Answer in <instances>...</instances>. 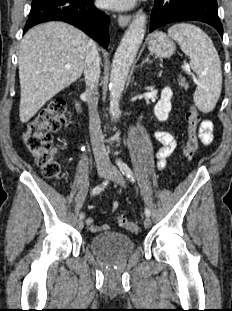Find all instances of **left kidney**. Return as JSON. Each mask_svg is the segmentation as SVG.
I'll return each instance as SVG.
<instances>
[{"instance_id":"5707ae66","label":"left kidney","mask_w":232,"mask_h":311,"mask_svg":"<svg viewBox=\"0 0 232 311\" xmlns=\"http://www.w3.org/2000/svg\"><path fill=\"white\" fill-rule=\"evenodd\" d=\"M173 92L169 87H165L161 92V98L154 107V114L156 118L164 122L168 119L169 112L171 111V98Z\"/></svg>"}]
</instances>
